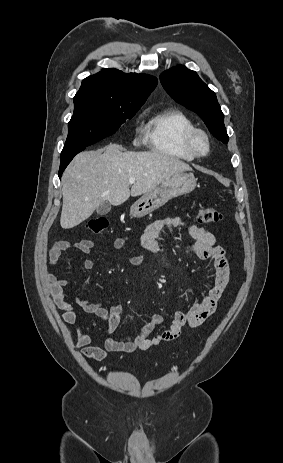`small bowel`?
Listing matches in <instances>:
<instances>
[{
    "label": "small bowel",
    "mask_w": 283,
    "mask_h": 463,
    "mask_svg": "<svg viewBox=\"0 0 283 463\" xmlns=\"http://www.w3.org/2000/svg\"><path fill=\"white\" fill-rule=\"evenodd\" d=\"M184 228L194 242L187 247V251L202 260L213 262L215 270L214 285L203 299L189 309L176 313L171 325L164 331L154 334L155 330L162 324V316L155 314L143 324L134 336L119 338L108 337L102 346L91 345L90 336L83 330L78 321L76 307L83 312L93 314L103 319L108 326V332L113 333L120 323L122 306L113 304L105 307L100 303H93L79 297L71 292L74 304L71 303L65 294L64 289L68 287L69 281L66 278H58L48 271V291L51 294L56 306L63 311L62 319L68 325H74L77 331L76 346L81 349L82 356L88 360H105L110 353H131L136 350H148L163 341H171L179 337L184 327H196L205 322L216 310L217 303L222 297L230 277V268L225 250L216 243L215 236L208 230L196 225H187L179 217H165L150 223L144 231L139 234L143 248L152 253L159 251L157 238L164 228ZM127 236H120L114 240L115 249H122L128 242ZM92 240L83 239L78 242L67 240L55 241L49 249L48 260L51 266H56L64 251L76 249L84 254H89L94 248ZM128 260L131 264L141 266L144 260L141 256L130 255ZM94 263L91 259L83 261V268L91 270Z\"/></svg>",
    "instance_id": "small-bowel-1"
}]
</instances>
